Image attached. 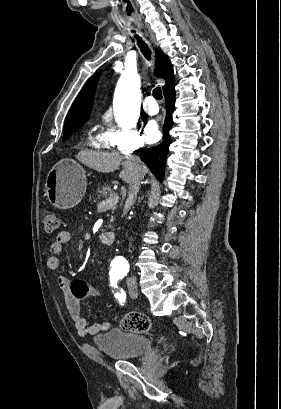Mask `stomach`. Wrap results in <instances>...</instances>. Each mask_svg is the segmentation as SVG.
I'll return each instance as SVG.
<instances>
[{
	"label": "stomach",
	"mask_w": 281,
	"mask_h": 409,
	"mask_svg": "<svg viewBox=\"0 0 281 409\" xmlns=\"http://www.w3.org/2000/svg\"><path fill=\"white\" fill-rule=\"evenodd\" d=\"M45 186L47 198L53 207L72 209L86 192L85 170L73 158H61L49 170Z\"/></svg>",
	"instance_id": "1"
}]
</instances>
